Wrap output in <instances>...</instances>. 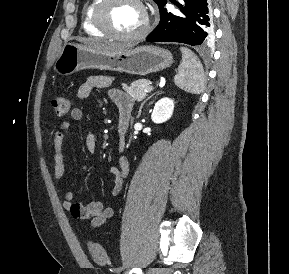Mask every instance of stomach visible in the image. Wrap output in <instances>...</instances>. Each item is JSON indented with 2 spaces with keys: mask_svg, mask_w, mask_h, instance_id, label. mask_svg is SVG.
Listing matches in <instances>:
<instances>
[{
  "mask_svg": "<svg viewBox=\"0 0 289 274\" xmlns=\"http://www.w3.org/2000/svg\"><path fill=\"white\" fill-rule=\"evenodd\" d=\"M172 54L156 46H138L120 51H103L67 42L54 63L58 75L68 76L84 69H100L147 75L169 67Z\"/></svg>",
  "mask_w": 289,
  "mask_h": 274,
  "instance_id": "stomach-1",
  "label": "stomach"
}]
</instances>
